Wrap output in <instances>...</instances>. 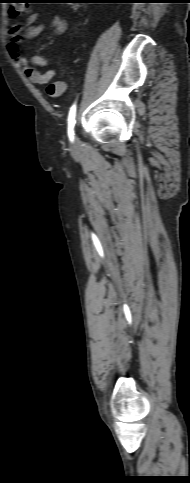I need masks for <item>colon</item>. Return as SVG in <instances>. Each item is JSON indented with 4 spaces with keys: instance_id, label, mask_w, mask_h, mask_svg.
I'll return each mask as SVG.
<instances>
[{
    "instance_id": "obj_1",
    "label": "colon",
    "mask_w": 190,
    "mask_h": 483,
    "mask_svg": "<svg viewBox=\"0 0 190 483\" xmlns=\"http://www.w3.org/2000/svg\"><path fill=\"white\" fill-rule=\"evenodd\" d=\"M8 12L13 17H19L30 11L32 0H12L9 2Z\"/></svg>"
}]
</instances>
